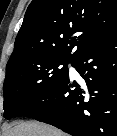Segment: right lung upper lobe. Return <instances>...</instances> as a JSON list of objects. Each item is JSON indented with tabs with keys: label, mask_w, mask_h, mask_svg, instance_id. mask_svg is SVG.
<instances>
[{
	"label": "right lung upper lobe",
	"mask_w": 117,
	"mask_h": 136,
	"mask_svg": "<svg viewBox=\"0 0 117 136\" xmlns=\"http://www.w3.org/2000/svg\"><path fill=\"white\" fill-rule=\"evenodd\" d=\"M115 34L117 0H33L8 63L33 55L75 60Z\"/></svg>",
	"instance_id": "cb5924a9"
}]
</instances>
